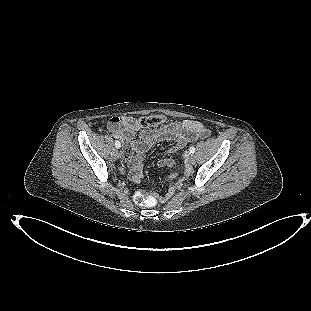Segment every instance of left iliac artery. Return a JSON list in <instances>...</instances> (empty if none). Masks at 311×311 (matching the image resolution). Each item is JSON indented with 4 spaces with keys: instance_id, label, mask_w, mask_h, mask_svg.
<instances>
[{
    "instance_id": "left-iliac-artery-1",
    "label": "left iliac artery",
    "mask_w": 311,
    "mask_h": 311,
    "mask_svg": "<svg viewBox=\"0 0 311 311\" xmlns=\"http://www.w3.org/2000/svg\"><path fill=\"white\" fill-rule=\"evenodd\" d=\"M189 152H190V154H194V152H195V147H194V146L190 147V148H189Z\"/></svg>"
}]
</instances>
